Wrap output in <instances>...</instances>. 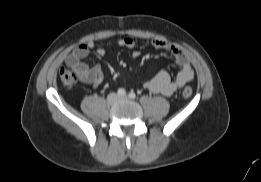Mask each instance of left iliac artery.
<instances>
[{"label": "left iliac artery", "mask_w": 261, "mask_h": 182, "mask_svg": "<svg viewBox=\"0 0 261 182\" xmlns=\"http://www.w3.org/2000/svg\"><path fill=\"white\" fill-rule=\"evenodd\" d=\"M128 96L130 99H134L136 97V94L134 92H130Z\"/></svg>", "instance_id": "44dca946"}]
</instances>
